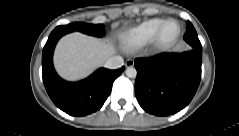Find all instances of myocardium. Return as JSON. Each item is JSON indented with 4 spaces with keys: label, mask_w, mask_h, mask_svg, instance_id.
<instances>
[{
    "label": "myocardium",
    "mask_w": 239,
    "mask_h": 136,
    "mask_svg": "<svg viewBox=\"0 0 239 136\" xmlns=\"http://www.w3.org/2000/svg\"><path fill=\"white\" fill-rule=\"evenodd\" d=\"M171 24H176L177 23L175 21H167V22H164L160 28L158 29L156 35H155V38H154V43L159 46V47H163V48H167L169 47V44L165 43V41L163 40L162 36H163V33H164V30ZM180 33V30L178 28V31H177V35H179ZM176 35V36H177Z\"/></svg>",
    "instance_id": "f54148a6"
}]
</instances>
